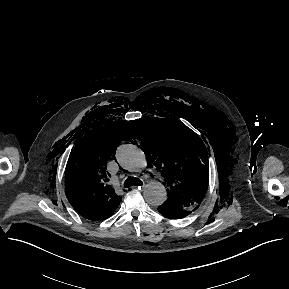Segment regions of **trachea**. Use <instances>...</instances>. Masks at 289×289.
I'll list each match as a JSON object with an SVG mask.
<instances>
[{"label":"trachea","instance_id":"obj_1","mask_svg":"<svg viewBox=\"0 0 289 289\" xmlns=\"http://www.w3.org/2000/svg\"><path fill=\"white\" fill-rule=\"evenodd\" d=\"M142 181L139 178H135V177H128L125 182H124V187L125 188H129L131 186H139L142 185Z\"/></svg>","mask_w":289,"mask_h":289}]
</instances>
